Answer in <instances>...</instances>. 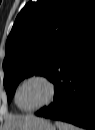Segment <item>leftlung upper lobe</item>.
<instances>
[{"label":"left lung upper lobe","mask_w":95,"mask_h":130,"mask_svg":"<svg viewBox=\"0 0 95 130\" xmlns=\"http://www.w3.org/2000/svg\"><path fill=\"white\" fill-rule=\"evenodd\" d=\"M95 13L94 0H38L18 14L3 62L8 102L18 83L33 74L50 81L78 27Z\"/></svg>","instance_id":"left-lung-upper-lobe-1"}]
</instances>
